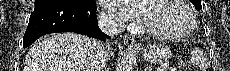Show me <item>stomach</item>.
I'll use <instances>...</instances> for the list:
<instances>
[{
    "instance_id": "0dacf381",
    "label": "stomach",
    "mask_w": 230,
    "mask_h": 71,
    "mask_svg": "<svg viewBox=\"0 0 230 71\" xmlns=\"http://www.w3.org/2000/svg\"><path fill=\"white\" fill-rule=\"evenodd\" d=\"M171 50L164 44L148 45L142 50V56L151 63H163L171 57Z\"/></svg>"
}]
</instances>
